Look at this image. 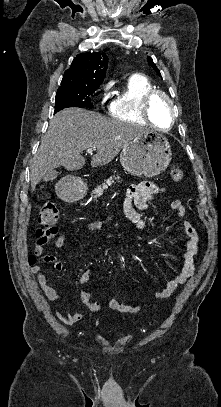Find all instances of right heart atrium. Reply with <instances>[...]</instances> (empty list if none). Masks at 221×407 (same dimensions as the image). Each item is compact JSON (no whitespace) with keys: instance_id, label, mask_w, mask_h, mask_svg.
Masks as SVG:
<instances>
[{"instance_id":"right-heart-atrium-1","label":"right heart atrium","mask_w":221,"mask_h":407,"mask_svg":"<svg viewBox=\"0 0 221 407\" xmlns=\"http://www.w3.org/2000/svg\"><path fill=\"white\" fill-rule=\"evenodd\" d=\"M109 89H110V85H109V84H105V85L102 87V95H105Z\"/></svg>"}]
</instances>
